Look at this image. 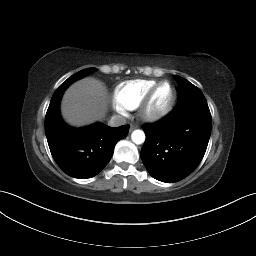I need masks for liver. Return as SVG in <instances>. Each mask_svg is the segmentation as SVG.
<instances>
[{"label":"liver","instance_id":"6515ba94","mask_svg":"<svg viewBox=\"0 0 256 256\" xmlns=\"http://www.w3.org/2000/svg\"><path fill=\"white\" fill-rule=\"evenodd\" d=\"M108 92L105 85L94 78H84L65 92L61 111L67 123L83 126L102 119L107 111Z\"/></svg>","mask_w":256,"mask_h":256}]
</instances>
